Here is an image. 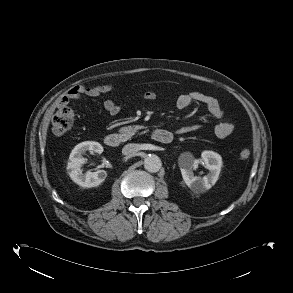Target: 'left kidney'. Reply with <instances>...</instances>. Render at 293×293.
<instances>
[{
    "instance_id": "1",
    "label": "left kidney",
    "mask_w": 293,
    "mask_h": 293,
    "mask_svg": "<svg viewBox=\"0 0 293 293\" xmlns=\"http://www.w3.org/2000/svg\"><path fill=\"white\" fill-rule=\"evenodd\" d=\"M203 162L209 173L204 176H195L193 170L198 164ZM222 167V158L213 151H204L201 159H194L188 162L180 163V170L186 185L195 193H202L210 189L218 180Z\"/></svg>"
}]
</instances>
